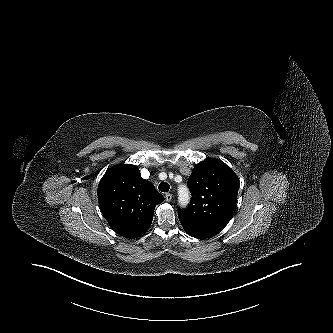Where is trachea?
Listing matches in <instances>:
<instances>
[{
	"mask_svg": "<svg viewBox=\"0 0 333 333\" xmlns=\"http://www.w3.org/2000/svg\"><path fill=\"white\" fill-rule=\"evenodd\" d=\"M158 189L161 191V192H168L169 189H170V186L168 183L166 182H161L158 186Z\"/></svg>",
	"mask_w": 333,
	"mask_h": 333,
	"instance_id": "obj_1",
	"label": "trachea"
}]
</instances>
